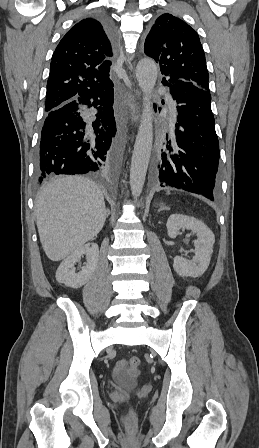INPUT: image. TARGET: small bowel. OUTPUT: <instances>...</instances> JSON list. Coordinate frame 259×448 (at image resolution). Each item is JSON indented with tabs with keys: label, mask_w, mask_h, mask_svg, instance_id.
Returning a JSON list of instances; mask_svg holds the SVG:
<instances>
[{
	"label": "small bowel",
	"mask_w": 259,
	"mask_h": 448,
	"mask_svg": "<svg viewBox=\"0 0 259 448\" xmlns=\"http://www.w3.org/2000/svg\"><path fill=\"white\" fill-rule=\"evenodd\" d=\"M114 373L116 375L128 374V373H126V361L125 360L118 361V363L116 364V366L114 368ZM131 374L133 375V374H135V372H132Z\"/></svg>",
	"instance_id": "obj_1"
}]
</instances>
